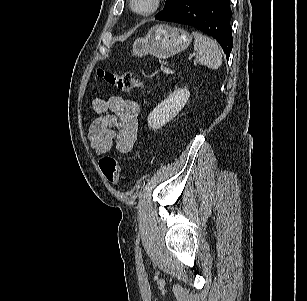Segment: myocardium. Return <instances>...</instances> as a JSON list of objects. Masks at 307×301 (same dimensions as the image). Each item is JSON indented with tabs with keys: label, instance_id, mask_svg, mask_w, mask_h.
Wrapping results in <instances>:
<instances>
[{
	"label": "myocardium",
	"instance_id": "f54148a6",
	"mask_svg": "<svg viewBox=\"0 0 307 301\" xmlns=\"http://www.w3.org/2000/svg\"><path fill=\"white\" fill-rule=\"evenodd\" d=\"M162 1L163 0H153L152 6L146 10V11H139L138 9L135 8V0H130L129 1V6L131 11L141 17H148L153 14H155L162 6Z\"/></svg>",
	"mask_w": 307,
	"mask_h": 301
}]
</instances>
